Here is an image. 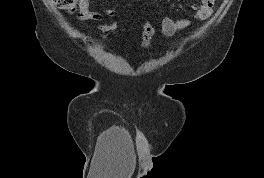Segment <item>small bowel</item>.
I'll list each match as a JSON object with an SVG mask.
<instances>
[{
  "instance_id": "c3829d8e",
  "label": "small bowel",
  "mask_w": 264,
  "mask_h": 178,
  "mask_svg": "<svg viewBox=\"0 0 264 178\" xmlns=\"http://www.w3.org/2000/svg\"><path fill=\"white\" fill-rule=\"evenodd\" d=\"M214 3L215 0H199L198 3L192 4L193 15L191 18H163L160 22L161 32L170 37L190 26L192 20L203 21L209 18L213 12ZM105 13L111 17L115 14V10L106 8ZM78 19L81 22H101L103 16L101 13L90 9L89 0H79Z\"/></svg>"
}]
</instances>
